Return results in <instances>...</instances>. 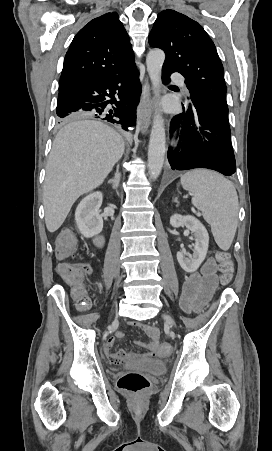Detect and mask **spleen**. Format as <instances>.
I'll return each instance as SVG.
<instances>
[{
    "label": "spleen",
    "mask_w": 272,
    "mask_h": 451,
    "mask_svg": "<svg viewBox=\"0 0 272 451\" xmlns=\"http://www.w3.org/2000/svg\"><path fill=\"white\" fill-rule=\"evenodd\" d=\"M181 184L193 196V206L210 224L217 245L227 251L238 224L239 202L233 184L221 174L202 168L184 174Z\"/></svg>",
    "instance_id": "obj_1"
}]
</instances>
